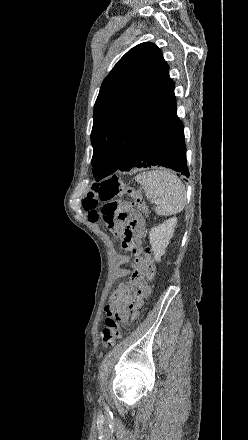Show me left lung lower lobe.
<instances>
[{
  "instance_id": "left-lung-lower-lobe-1",
  "label": "left lung lower lobe",
  "mask_w": 248,
  "mask_h": 440,
  "mask_svg": "<svg viewBox=\"0 0 248 440\" xmlns=\"http://www.w3.org/2000/svg\"><path fill=\"white\" fill-rule=\"evenodd\" d=\"M152 165L171 168L189 177L184 126L177 117L176 109L130 148L117 170L130 171L135 167Z\"/></svg>"
}]
</instances>
